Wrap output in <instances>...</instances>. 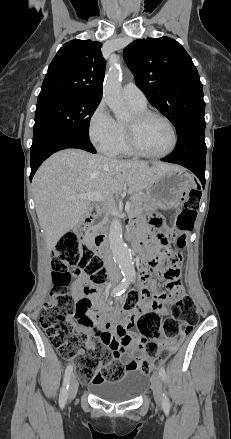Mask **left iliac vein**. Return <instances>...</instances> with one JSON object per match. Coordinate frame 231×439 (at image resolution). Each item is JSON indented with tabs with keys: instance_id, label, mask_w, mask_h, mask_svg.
Segmentation results:
<instances>
[{
	"instance_id": "4c4485c4",
	"label": "left iliac vein",
	"mask_w": 231,
	"mask_h": 439,
	"mask_svg": "<svg viewBox=\"0 0 231 439\" xmlns=\"http://www.w3.org/2000/svg\"><path fill=\"white\" fill-rule=\"evenodd\" d=\"M151 384L155 402L158 406H161L163 403V390L162 381L159 374H153L151 378Z\"/></svg>"
}]
</instances>
